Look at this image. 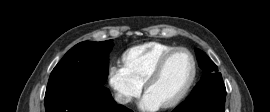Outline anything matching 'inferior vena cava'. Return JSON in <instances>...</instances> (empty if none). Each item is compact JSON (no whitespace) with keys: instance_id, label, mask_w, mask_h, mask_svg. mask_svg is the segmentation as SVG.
<instances>
[{"instance_id":"obj_1","label":"inferior vena cava","mask_w":270,"mask_h":112,"mask_svg":"<svg viewBox=\"0 0 270 112\" xmlns=\"http://www.w3.org/2000/svg\"><path fill=\"white\" fill-rule=\"evenodd\" d=\"M115 101L119 104H127L128 102H130V97L128 96H124L122 94L116 93L115 94Z\"/></svg>"}]
</instances>
